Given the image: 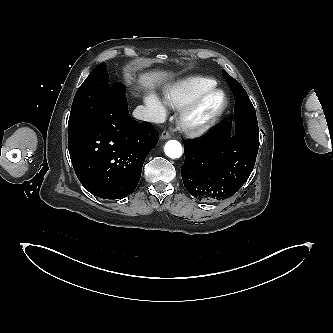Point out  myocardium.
<instances>
[{
    "instance_id": "1",
    "label": "myocardium",
    "mask_w": 333,
    "mask_h": 333,
    "mask_svg": "<svg viewBox=\"0 0 333 333\" xmlns=\"http://www.w3.org/2000/svg\"><path fill=\"white\" fill-rule=\"evenodd\" d=\"M212 96H218L219 101L215 108L201 119L196 117L203 103ZM229 104V98L225 90L212 87L200 93L191 102L184 106L179 113L178 125L180 129L191 136H201L208 133L224 115Z\"/></svg>"
}]
</instances>
